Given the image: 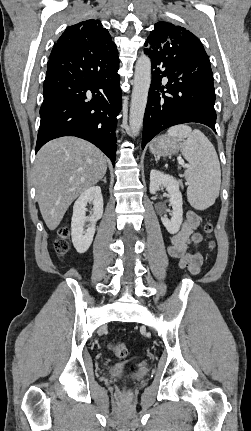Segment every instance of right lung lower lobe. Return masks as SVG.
<instances>
[{"mask_svg": "<svg viewBox=\"0 0 251 431\" xmlns=\"http://www.w3.org/2000/svg\"><path fill=\"white\" fill-rule=\"evenodd\" d=\"M119 59L104 63L96 55L67 54L53 49L43 87L37 152L61 136L83 138L115 165L116 116L121 110Z\"/></svg>", "mask_w": 251, "mask_h": 431, "instance_id": "obj_1", "label": "right lung lower lobe"}]
</instances>
